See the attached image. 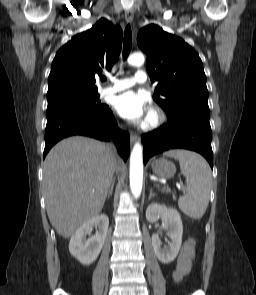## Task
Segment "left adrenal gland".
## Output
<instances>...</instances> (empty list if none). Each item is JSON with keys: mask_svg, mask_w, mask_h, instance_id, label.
I'll list each match as a JSON object with an SVG mask.
<instances>
[{"mask_svg": "<svg viewBox=\"0 0 256 295\" xmlns=\"http://www.w3.org/2000/svg\"><path fill=\"white\" fill-rule=\"evenodd\" d=\"M155 196V194H154V192H153V190H152V188L150 189V195H149V200H151V198H153Z\"/></svg>", "mask_w": 256, "mask_h": 295, "instance_id": "left-adrenal-gland-1", "label": "left adrenal gland"}]
</instances>
